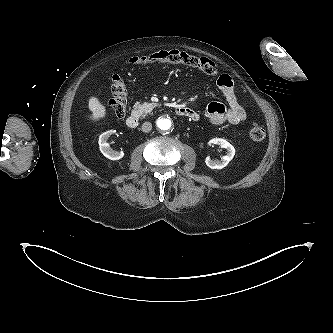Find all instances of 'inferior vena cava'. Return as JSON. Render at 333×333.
Masks as SVG:
<instances>
[{
  "mask_svg": "<svg viewBox=\"0 0 333 333\" xmlns=\"http://www.w3.org/2000/svg\"><path fill=\"white\" fill-rule=\"evenodd\" d=\"M151 129H152V124L150 123V122H144L143 124H142V131L143 132H150L151 131Z\"/></svg>",
  "mask_w": 333,
  "mask_h": 333,
  "instance_id": "inferior-vena-cava-1",
  "label": "inferior vena cava"
}]
</instances>
